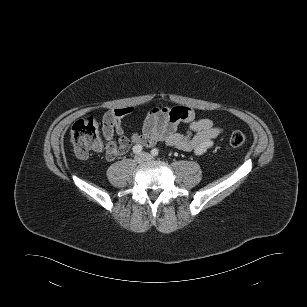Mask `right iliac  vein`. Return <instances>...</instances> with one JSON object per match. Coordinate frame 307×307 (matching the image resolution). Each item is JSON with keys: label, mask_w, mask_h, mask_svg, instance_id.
<instances>
[{"label": "right iliac vein", "mask_w": 307, "mask_h": 307, "mask_svg": "<svg viewBox=\"0 0 307 307\" xmlns=\"http://www.w3.org/2000/svg\"><path fill=\"white\" fill-rule=\"evenodd\" d=\"M134 161L136 163H143L145 161V157L142 155V154H137L135 157H134Z\"/></svg>", "instance_id": "63e3f726"}]
</instances>
